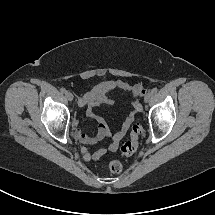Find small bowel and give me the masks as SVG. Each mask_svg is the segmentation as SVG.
Masks as SVG:
<instances>
[{
    "instance_id": "1",
    "label": "small bowel",
    "mask_w": 215,
    "mask_h": 215,
    "mask_svg": "<svg viewBox=\"0 0 215 215\" xmlns=\"http://www.w3.org/2000/svg\"><path fill=\"white\" fill-rule=\"evenodd\" d=\"M115 89L123 92H131L136 99L132 103V111L125 117L120 130L116 133H112L104 118L96 114L94 109L100 105L113 104V100L110 98L109 93ZM145 93L146 89L141 84H130L123 80H104L97 83L78 100L79 106L86 107L87 116L94 118L97 121V132L94 136H89L81 128L75 126L73 131L74 137L85 146L97 145L105 138H111L108 148L111 151L117 150L121 140L126 135L135 114L142 110L140 97ZM85 146L82 147L81 152L86 161L99 160L106 153L105 148H98L95 151L90 152Z\"/></svg>"
}]
</instances>
